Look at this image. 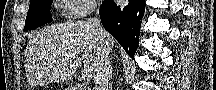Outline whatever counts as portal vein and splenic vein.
Here are the masks:
<instances>
[{
	"label": "portal vein and splenic vein",
	"instance_id": "1",
	"mask_svg": "<svg viewBox=\"0 0 216 90\" xmlns=\"http://www.w3.org/2000/svg\"><path fill=\"white\" fill-rule=\"evenodd\" d=\"M82 78L83 80H86V78H88V74H82Z\"/></svg>",
	"mask_w": 216,
	"mask_h": 90
}]
</instances>
